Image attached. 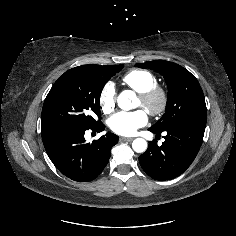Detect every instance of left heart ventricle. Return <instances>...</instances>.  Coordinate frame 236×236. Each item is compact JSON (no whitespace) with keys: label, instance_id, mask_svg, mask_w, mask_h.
<instances>
[{"label":"left heart ventricle","instance_id":"obj_1","mask_svg":"<svg viewBox=\"0 0 236 236\" xmlns=\"http://www.w3.org/2000/svg\"><path fill=\"white\" fill-rule=\"evenodd\" d=\"M138 106H142V101L140 100V98L138 99Z\"/></svg>","mask_w":236,"mask_h":236}]
</instances>
